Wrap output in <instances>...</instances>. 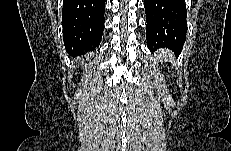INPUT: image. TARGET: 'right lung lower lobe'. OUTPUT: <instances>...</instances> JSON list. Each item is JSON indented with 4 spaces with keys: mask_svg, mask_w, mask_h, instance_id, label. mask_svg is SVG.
I'll use <instances>...</instances> for the list:
<instances>
[{
    "mask_svg": "<svg viewBox=\"0 0 231 151\" xmlns=\"http://www.w3.org/2000/svg\"><path fill=\"white\" fill-rule=\"evenodd\" d=\"M105 0H64L63 40L71 56L94 50L104 30Z\"/></svg>",
    "mask_w": 231,
    "mask_h": 151,
    "instance_id": "right-lung-lower-lobe-1",
    "label": "right lung lower lobe"
}]
</instances>
